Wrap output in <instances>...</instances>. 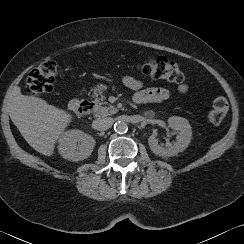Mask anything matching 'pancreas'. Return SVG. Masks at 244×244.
Segmentation results:
<instances>
[{
    "instance_id": "pancreas-1",
    "label": "pancreas",
    "mask_w": 244,
    "mask_h": 244,
    "mask_svg": "<svg viewBox=\"0 0 244 244\" xmlns=\"http://www.w3.org/2000/svg\"><path fill=\"white\" fill-rule=\"evenodd\" d=\"M106 87L105 86H99L94 90V94L96 96V103L101 105L103 103V100L106 99L105 97V91ZM98 96H100V98H98ZM117 109L112 106V105H107V106H98L96 111H95V115L98 117H103V116H107V115H111L116 113Z\"/></svg>"
}]
</instances>
